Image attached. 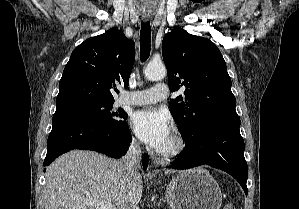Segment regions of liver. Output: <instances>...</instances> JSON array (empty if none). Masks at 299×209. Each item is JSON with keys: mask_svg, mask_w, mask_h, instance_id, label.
<instances>
[{"mask_svg": "<svg viewBox=\"0 0 299 209\" xmlns=\"http://www.w3.org/2000/svg\"><path fill=\"white\" fill-rule=\"evenodd\" d=\"M142 192L141 175L128 178L121 161L97 152L72 150L47 169L45 209H93L89 205L92 200L111 203L115 209H134Z\"/></svg>", "mask_w": 299, "mask_h": 209, "instance_id": "liver-1", "label": "liver"}]
</instances>
